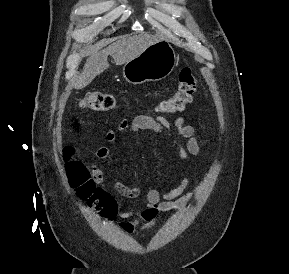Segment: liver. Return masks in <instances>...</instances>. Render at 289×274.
Returning a JSON list of instances; mask_svg holds the SVG:
<instances>
[{
	"instance_id": "liver-1",
	"label": "liver",
	"mask_w": 289,
	"mask_h": 274,
	"mask_svg": "<svg viewBox=\"0 0 289 274\" xmlns=\"http://www.w3.org/2000/svg\"><path fill=\"white\" fill-rule=\"evenodd\" d=\"M160 41L157 36L141 34L123 36L111 41L104 49L96 47L89 52L84 68L74 80V87L82 89L89 85L93 79L109 67L107 58L112 56L116 65H122L139 56L150 45Z\"/></svg>"
}]
</instances>
